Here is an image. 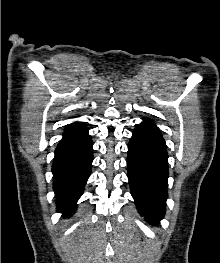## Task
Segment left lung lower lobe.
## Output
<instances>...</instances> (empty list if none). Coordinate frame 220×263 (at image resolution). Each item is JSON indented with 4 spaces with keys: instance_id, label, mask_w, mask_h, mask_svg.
Segmentation results:
<instances>
[{
    "instance_id": "obj_1",
    "label": "left lung lower lobe",
    "mask_w": 220,
    "mask_h": 263,
    "mask_svg": "<svg viewBox=\"0 0 220 263\" xmlns=\"http://www.w3.org/2000/svg\"><path fill=\"white\" fill-rule=\"evenodd\" d=\"M156 125L145 119L133 131L128 145V179L139 213L158 223L165 213L168 154Z\"/></svg>"
}]
</instances>
